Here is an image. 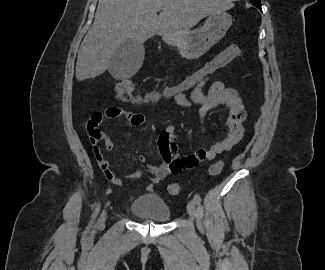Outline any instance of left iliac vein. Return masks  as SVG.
I'll use <instances>...</instances> for the list:
<instances>
[{
    "label": "left iliac vein",
    "mask_w": 325,
    "mask_h": 270,
    "mask_svg": "<svg viewBox=\"0 0 325 270\" xmlns=\"http://www.w3.org/2000/svg\"><path fill=\"white\" fill-rule=\"evenodd\" d=\"M187 211H188V214H189V216L191 218H193L195 216L196 206H195L194 200H191V201L188 202Z\"/></svg>",
    "instance_id": "left-iliac-vein-1"
}]
</instances>
